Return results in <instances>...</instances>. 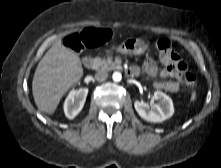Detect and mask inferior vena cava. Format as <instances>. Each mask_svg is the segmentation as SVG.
<instances>
[{
  "label": "inferior vena cava",
  "instance_id": "602c4592",
  "mask_svg": "<svg viewBox=\"0 0 221 168\" xmlns=\"http://www.w3.org/2000/svg\"><path fill=\"white\" fill-rule=\"evenodd\" d=\"M108 78V73L106 71H99L95 74V79L97 81H105Z\"/></svg>",
  "mask_w": 221,
  "mask_h": 168
}]
</instances>
